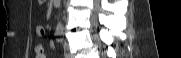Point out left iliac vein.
I'll return each instance as SVG.
<instances>
[{
    "mask_svg": "<svg viewBox=\"0 0 181 58\" xmlns=\"http://www.w3.org/2000/svg\"><path fill=\"white\" fill-rule=\"evenodd\" d=\"M64 50H65V58H71V55L69 53V50H68V46H67V43H64Z\"/></svg>",
    "mask_w": 181,
    "mask_h": 58,
    "instance_id": "4c4485c4",
    "label": "left iliac vein"
}]
</instances>
